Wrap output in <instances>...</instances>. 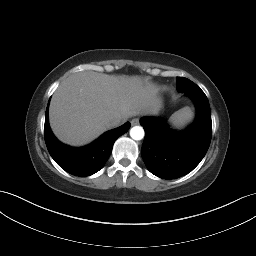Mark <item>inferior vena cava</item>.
<instances>
[{"label": "inferior vena cava", "mask_w": 256, "mask_h": 256, "mask_svg": "<svg viewBox=\"0 0 256 256\" xmlns=\"http://www.w3.org/2000/svg\"><path fill=\"white\" fill-rule=\"evenodd\" d=\"M125 120H123L122 118H117L114 119L111 123H110V127H117L120 124H122Z\"/></svg>", "instance_id": "602c4592"}]
</instances>
